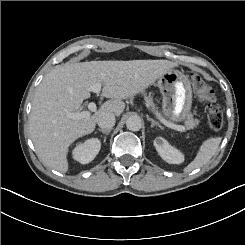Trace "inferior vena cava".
Here are the masks:
<instances>
[{
	"label": "inferior vena cava",
	"instance_id": "1",
	"mask_svg": "<svg viewBox=\"0 0 245 245\" xmlns=\"http://www.w3.org/2000/svg\"><path fill=\"white\" fill-rule=\"evenodd\" d=\"M97 124L103 129H110L115 124V115L111 112H102L97 118Z\"/></svg>",
	"mask_w": 245,
	"mask_h": 245
}]
</instances>
